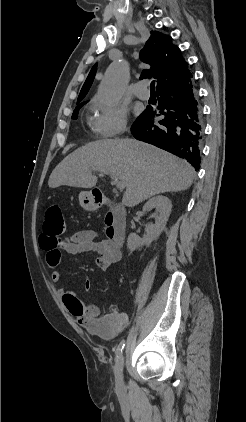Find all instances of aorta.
<instances>
[{"label": "aorta", "mask_w": 246, "mask_h": 422, "mask_svg": "<svg viewBox=\"0 0 246 422\" xmlns=\"http://www.w3.org/2000/svg\"><path fill=\"white\" fill-rule=\"evenodd\" d=\"M129 79L125 61L112 63L107 69L99 88V97L107 105H116L121 100Z\"/></svg>", "instance_id": "obj_1"}]
</instances>
